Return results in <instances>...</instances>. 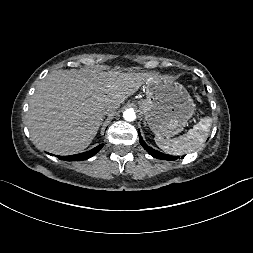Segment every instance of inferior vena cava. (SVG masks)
Listing matches in <instances>:
<instances>
[{"mask_svg":"<svg viewBox=\"0 0 253 253\" xmlns=\"http://www.w3.org/2000/svg\"><path fill=\"white\" fill-rule=\"evenodd\" d=\"M115 107L113 105H108L105 109H104V114H109L112 113L113 111H115Z\"/></svg>","mask_w":253,"mask_h":253,"instance_id":"obj_1","label":"inferior vena cava"}]
</instances>
